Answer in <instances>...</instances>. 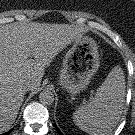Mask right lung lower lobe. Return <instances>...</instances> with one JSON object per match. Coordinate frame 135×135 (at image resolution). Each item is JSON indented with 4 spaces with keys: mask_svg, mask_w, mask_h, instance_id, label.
<instances>
[{
    "mask_svg": "<svg viewBox=\"0 0 135 135\" xmlns=\"http://www.w3.org/2000/svg\"><path fill=\"white\" fill-rule=\"evenodd\" d=\"M10 132L4 133L3 135H9Z\"/></svg>",
    "mask_w": 135,
    "mask_h": 135,
    "instance_id": "98d812e1",
    "label": "right lung lower lobe"
}]
</instances>
